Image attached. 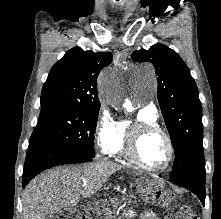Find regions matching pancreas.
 I'll list each match as a JSON object with an SVG mask.
<instances>
[{
  "label": "pancreas",
  "instance_id": "1",
  "mask_svg": "<svg viewBox=\"0 0 221 219\" xmlns=\"http://www.w3.org/2000/svg\"><path fill=\"white\" fill-rule=\"evenodd\" d=\"M123 216H125V218H127V219H131L132 217L135 216V211L132 208L128 209L127 211L125 210L123 212Z\"/></svg>",
  "mask_w": 221,
  "mask_h": 219
}]
</instances>
